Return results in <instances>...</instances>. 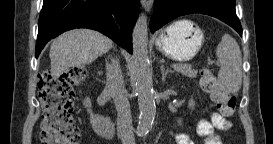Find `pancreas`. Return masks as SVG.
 <instances>
[{
	"label": "pancreas",
	"mask_w": 273,
	"mask_h": 144,
	"mask_svg": "<svg viewBox=\"0 0 273 144\" xmlns=\"http://www.w3.org/2000/svg\"><path fill=\"white\" fill-rule=\"evenodd\" d=\"M182 75L189 77V78H195L197 76V71L193 70L191 68H179L177 69Z\"/></svg>",
	"instance_id": "1"
}]
</instances>
